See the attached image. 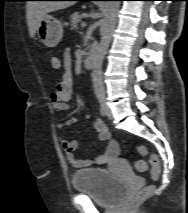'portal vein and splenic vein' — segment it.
<instances>
[{
	"instance_id": "portal-vein-and-splenic-vein-1",
	"label": "portal vein and splenic vein",
	"mask_w": 188,
	"mask_h": 213,
	"mask_svg": "<svg viewBox=\"0 0 188 213\" xmlns=\"http://www.w3.org/2000/svg\"><path fill=\"white\" fill-rule=\"evenodd\" d=\"M81 27H82V28H85V27H86V23H85V22H82V23H81Z\"/></svg>"
}]
</instances>
